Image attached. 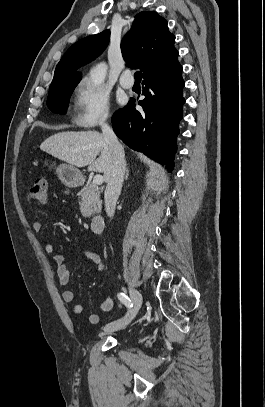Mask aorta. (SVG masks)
Here are the masks:
<instances>
[{"mask_svg":"<svg viewBox=\"0 0 265 407\" xmlns=\"http://www.w3.org/2000/svg\"><path fill=\"white\" fill-rule=\"evenodd\" d=\"M107 65L100 63L90 71V78L95 85L101 84L106 76Z\"/></svg>","mask_w":265,"mask_h":407,"instance_id":"1","label":"aorta"}]
</instances>
